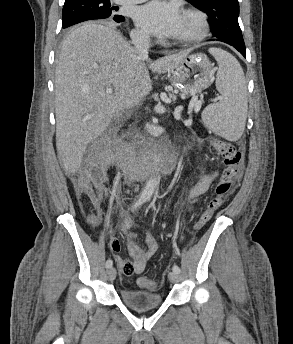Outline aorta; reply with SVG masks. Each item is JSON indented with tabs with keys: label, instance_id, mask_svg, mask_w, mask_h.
Returning <instances> with one entry per match:
<instances>
[{
	"label": "aorta",
	"instance_id": "aorta-1",
	"mask_svg": "<svg viewBox=\"0 0 293 344\" xmlns=\"http://www.w3.org/2000/svg\"><path fill=\"white\" fill-rule=\"evenodd\" d=\"M158 183V178L157 177H151L145 184L144 189H143V194L145 196L151 197L154 194L155 188Z\"/></svg>",
	"mask_w": 293,
	"mask_h": 344
}]
</instances>
